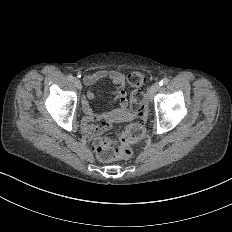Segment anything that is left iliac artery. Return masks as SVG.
I'll use <instances>...</instances> for the list:
<instances>
[{"label": "left iliac artery", "mask_w": 232, "mask_h": 232, "mask_svg": "<svg viewBox=\"0 0 232 232\" xmlns=\"http://www.w3.org/2000/svg\"><path fill=\"white\" fill-rule=\"evenodd\" d=\"M169 79L168 78H163L160 82H159V86H163L168 84Z\"/></svg>", "instance_id": "obj_1"}]
</instances>
